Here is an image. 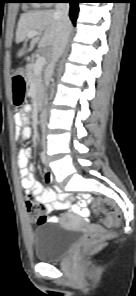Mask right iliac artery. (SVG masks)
<instances>
[{
  "label": "right iliac artery",
  "mask_w": 136,
  "mask_h": 296,
  "mask_svg": "<svg viewBox=\"0 0 136 296\" xmlns=\"http://www.w3.org/2000/svg\"><path fill=\"white\" fill-rule=\"evenodd\" d=\"M41 160L44 164H46V155L44 152L41 153Z\"/></svg>",
  "instance_id": "obj_1"
}]
</instances>
